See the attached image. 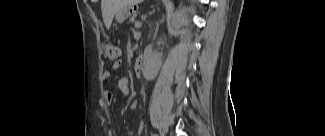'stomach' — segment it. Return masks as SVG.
Returning a JSON list of instances; mask_svg holds the SVG:
<instances>
[{
    "label": "stomach",
    "mask_w": 325,
    "mask_h": 136,
    "mask_svg": "<svg viewBox=\"0 0 325 136\" xmlns=\"http://www.w3.org/2000/svg\"><path fill=\"white\" fill-rule=\"evenodd\" d=\"M136 10V5H127V7L115 14L116 21L123 22L129 15H133Z\"/></svg>",
    "instance_id": "1"
}]
</instances>
